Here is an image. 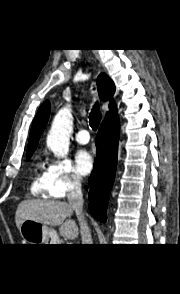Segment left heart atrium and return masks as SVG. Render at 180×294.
Instances as JSON below:
<instances>
[{"mask_svg": "<svg viewBox=\"0 0 180 294\" xmlns=\"http://www.w3.org/2000/svg\"><path fill=\"white\" fill-rule=\"evenodd\" d=\"M93 157L86 150H80L75 156V171L80 176L89 174L93 169Z\"/></svg>", "mask_w": 180, "mask_h": 294, "instance_id": "obj_1", "label": "left heart atrium"}]
</instances>
